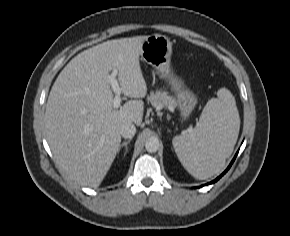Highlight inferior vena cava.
Segmentation results:
<instances>
[{
    "instance_id": "602c4592",
    "label": "inferior vena cava",
    "mask_w": 290,
    "mask_h": 236,
    "mask_svg": "<svg viewBox=\"0 0 290 236\" xmlns=\"http://www.w3.org/2000/svg\"><path fill=\"white\" fill-rule=\"evenodd\" d=\"M136 133V127L134 124L127 123L121 126L120 134L124 138H132Z\"/></svg>"
}]
</instances>
